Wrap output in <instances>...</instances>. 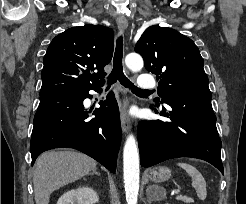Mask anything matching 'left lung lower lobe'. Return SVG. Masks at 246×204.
<instances>
[{"mask_svg": "<svg viewBox=\"0 0 246 204\" xmlns=\"http://www.w3.org/2000/svg\"><path fill=\"white\" fill-rule=\"evenodd\" d=\"M160 115L168 121H142L138 126L141 166L150 167L168 159L193 157L205 160L222 173L221 140L215 125L211 98L167 97ZM156 113L158 111L154 109Z\"/></svg>", "mask_w": 246, "mask_h": 204, "instance_id": "left-lung-lower-lobe-1", "label": "left lung lower lobe"}]
</instances>
